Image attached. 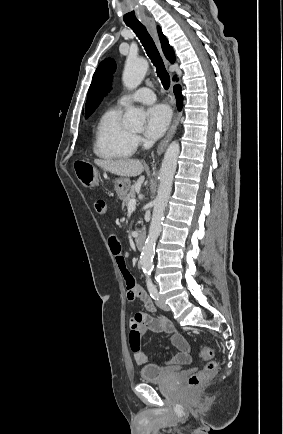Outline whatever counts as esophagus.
<instances>
[{"label": "esophagus", "mask_w": 283, "mask_h": 434, "mask_svg": "<svg viewBox=\"0 0 283 434\" xmlns=\"http://www.w3.org/2000/svg\"><path fill=\"white\" fill-rule=\"evenodd\" d=\"M144 24L146 25L149 33L151 34L152 38L154 39L157 47L159 48V50L161 51V46H160V41H159V37H158V33H157V28H156V23L154 21L153 18L151 17H145L143 19ZM164 61L166 63V65H169L168 60H166L164 58ZM179 118H180V113H177L176 117L174 118L172 125L167 133V135L165 136V138L160 142V144L158 145L157 148V154L160 155L164 152V150L166 149L168 143L170 142L171 138L173 137L177 126L179 124Z\"/></svg>", "instance_id": "1"}]
</instances>
